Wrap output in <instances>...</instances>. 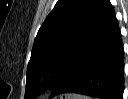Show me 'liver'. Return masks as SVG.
<instances>
[{
    "label": "liver",
    "mask_w": 128,
    "mask_h": 99,
    "mask_svg": "<svg viewBox=\"0 0 128 99\" xmlns=\"http://www.w3.org/2000/svg\"><path fill=\"white\" fill-rule=\"evenodd\" d=\"M79 95H75V94H68L65 96V99H79Z\"/></svg>",
    "instance_id": "liver-1"
}]
</instances>
